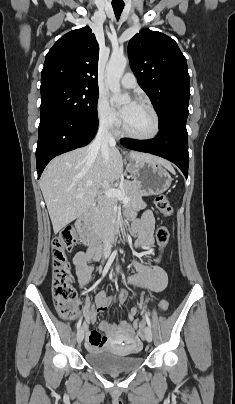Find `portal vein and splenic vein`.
<instances>
[{
    "label": "portal vein and splenic vein",
    "mask_w": 235,
    "mask_h": 404,
    "mask_svg": "<svg viewBox=\"0 0 235 404\" xmlns=\"http://www.w3.org/2000/svg\"><path fill=\"white\" fill-rule=\"evenodd\" d=\"M87 185L88 186H92V182H87ZM105 195L107 196V197H110V198H115V199H119V200H121L124 204H127L128 202H129V198H128V196L127 195H125V193L122 191V190H119V189H108L106 192H105Z\"/></svg>",
    "instance_id": "portal-vein-and-splenic-vein-1"
}]
</instances>
